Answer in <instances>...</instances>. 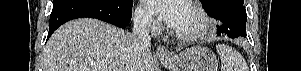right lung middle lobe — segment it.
I'll return each instance as SVG.
<instances>
[{"mask_svg": "<svg viewBox=\"0 0 301 71\" xmlns=\"http://www.w3.org/2000/svg\"><path fill=\"white\" fill-rule=\"evenodd\" d=\"M64 1H66V0H54V4L64 2ZM102 1H110V0H102Z\"/></svg>", "mask_w": 301, "mask_h": 71, "instance_id": "1", "label": "right lung middle lobe"}]
</instances>
